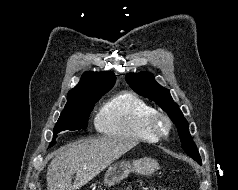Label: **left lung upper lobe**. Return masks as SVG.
Returning <instances> with one entry per match:
<instances>
[{"label":"left lung upper lobe","instance_id":"5c2ea615","mask_svg":"<svg viewBox=\"0 0 238 190\" xmlns=\"http://www.w3.org/2000/svg\"><path fill=\"white\" fill-rule=\"evenodd\" d=\"M127 82L138 94L156 102L176 124L182 148L194 160L201 163V157L189 133V125L179 106L173 101L168 89L159 85L151 73H129Z\"/></svg>","mask_w":238,"mask_h":190}]
</instances>
